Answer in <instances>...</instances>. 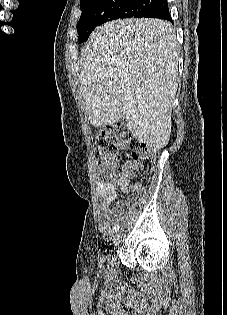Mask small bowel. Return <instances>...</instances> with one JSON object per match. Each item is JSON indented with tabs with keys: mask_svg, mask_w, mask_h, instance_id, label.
I'll return each instance as SVG.
<instances>
[{
	"mask_svg": "<svg viewBox=\"0 0 227 315\" xmlns=\"http://www.w3.org/2000/svg\"><path fill=\"white\" fill-rule=\"evenodd\" d=\"M117 187H119L121 191L126 194L130 192H138V187H129L127 178L124 175H119L114 181L107 184H98V192L103 199L100 224L102 229L106 231L112 228L113 224L124 211V203L120 201L115 202L117 197ZM112 203H114V205L113 207H110Z\"/></svg>",
	"mask_w": 227,
	"mask_h": 315,
	"instance_id": "small-bowel-1",
	"label": "small bowel"
}]
</instances>
